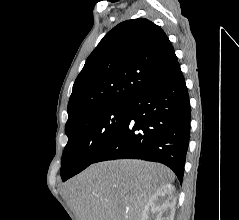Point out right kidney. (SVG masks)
<instances>
[{
	"label": "right kidney",
	"mask_w": 239,
	"mask_h": 220,
	"mask_svg": "<svg viewBox=\"0 0 239 220\" xmlns=\"http://www.w3.org/2000/svg\"><path fill=\"white\" fill-rule=\"evenodd\" d=\"M176 204L175 187L165 184L149 199L141 220H174Z\"/></svg>",
	"instance_id": "right-kidney-1"
}]
</instances>
